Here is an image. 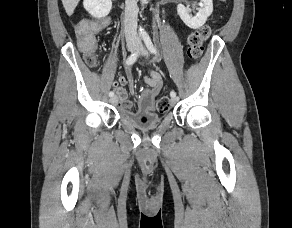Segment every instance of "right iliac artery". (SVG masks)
Instances as JSON below:
<instances>
[{"instance_id": "right-iliac-artery-1", "label": "right iliac artery", "mask_w": 292, "mask_h": 228, "mask_svg": "<svg viewBox=\"0 0 292 228\" xmlns=\"http://www.w3.org/2000/svg\"><path fill=\"white\" fill-rule=\"evenodd\" d=\"M138 55H139V50L135 51L134 53H132L126 60L125 64L126 65H132L133 63L136 62L137 58H138ZM109 96L110 97H113L114 96V92L113 91H110L109 92Z\"/></svg>"}]
</instances>
